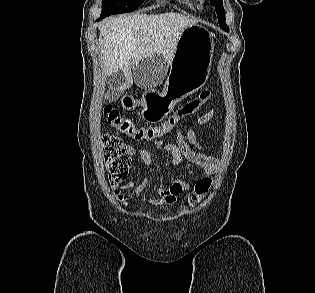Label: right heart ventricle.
<instances>
[{
    "instance_id": "e07e8e85",
    "label": "right heart ventricle",
    "mask_w": 315,
    "mask_h": 293,
    "mask_svg": "<svg viewBox=\"0 0 315 293\" xmlns=\"http://www.w3.org/2000/svg\"><path fill=\"white\" fill-rule=\"evenodd\" d=\"M179 2L191 10H196L197 8L195 0H179Z\"/></svg>"
}]
</instances>
